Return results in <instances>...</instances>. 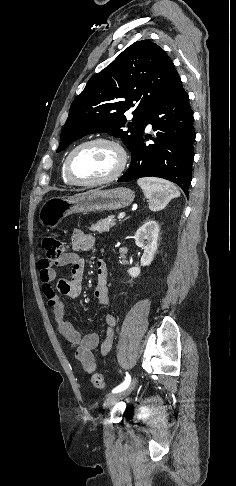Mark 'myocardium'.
<instances>
[{"label":"myocardium","mask_w":236,"mask_h":486,"mask_svg":"<svg viewBox=\"0 0 236 486\" xmlns=\"http://www.w3.org/2000/svg\"><path fill=\"white\" fill-rule=\"evenodd\" d=\"M93 144H106V145L113 147L119 155L118 166H117V168L115 169L114 172H112L110 175H108L104 178H100V179H96V180H89V181L80 180V179L76 178L72 173V170H71L72 159L80 149H82L86 146L93 145ZM127 162H128L127 152L124 149V147L118 141L110 139V138L99 137V138H94V139L85 141V142L77 145L68 154V156L65 160L64 172H65V176L69 180V182L74 184V185L98 186V185L107 184V183H110V182L117 180L125 171L126 166H127Z\"/></svg>","instance_id":"obj_1"}]
</instances>
